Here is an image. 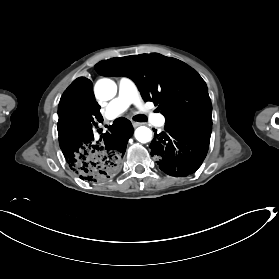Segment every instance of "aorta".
<instances>
[{"mask_svg": "<svg viewBox=\"0 0 279 279\" xmlns=\"http://www.w3.org/2000/svg\"><path fill=\"white\" fill-rule=\"evenodd\" d=\"M95 96L102 101L112 99L117 93V85L108 78L97 81L94 87ZM135 137L141 143H147L152 138V131L146 126H140L135 130Z\"/></svg>", "mask_w": 279, "mask_h": 279, "instance_id": "obj_1", "label": "aorta"}]
</instances>
